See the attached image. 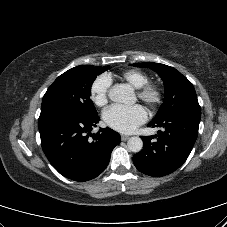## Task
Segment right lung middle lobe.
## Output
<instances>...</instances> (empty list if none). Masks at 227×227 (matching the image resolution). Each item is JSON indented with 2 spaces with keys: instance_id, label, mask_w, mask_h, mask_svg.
I'll use <instances>...</instances> for the list:
<instances>
[{
  "instance_id": "right-lung-middle-lobe-1",
  "label": "right lung middle lobe",
  "mask_w": 227,
  "mask_h": 227,
  "mask_svg": "<svg viewBox=\"0 0 227 227\" xmlns=\"http://www.w3.org/2000/svg\"><path fill=\"white\" fill-rule=\"evenodd\" d=\"M108 68L82 65L60 75L43 97L41 114L64 110L86 118L97 116L90 99L91 86L96 77Z\"/></svg>"
}]
</instances>
